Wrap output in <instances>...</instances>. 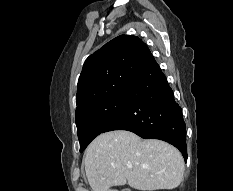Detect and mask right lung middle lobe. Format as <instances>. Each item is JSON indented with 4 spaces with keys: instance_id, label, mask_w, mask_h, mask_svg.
<instances>
[{
    "instance_id": "1",
    "label": "right lung middle lobe",
    "mask_w": 233,
    "mask_h": 191,
    "mask_svg": "<svg viewBox=\"0 0 233 191\" xmlns=\"http://www.w3.org/2000/svg\"><path fill=\"white\" fill-rule=\"evenodd\" d=\"M128 92L107 97L76 112L80 152L127 106Z\"/></svg>"
}]
</instances>
